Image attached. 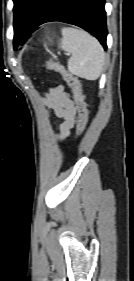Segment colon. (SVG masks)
Wrapping results in <instances>:
<instances>
[{
	"instance_id": "1",
	"label": "colon",
	"mask_w": 134,
	"mask_h": 281,
	"mask_svg": "<svg viewBox=\"0 0 134 281\" xmlns=\"http://www.w3.org/2000/svg\"><path fill=\"white\" fill-rule=\"evenodd\" d=\"M45 66L48 70L61 74L67 85L71 88L78 112L77 134L80 135L85 130L88 122V110L82 93L80 81L67 71L59 62L50 60L46 62Z\"/></svg>"
}]
</instances>
